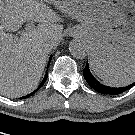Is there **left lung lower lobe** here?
I'll list each match as a JSON object with an SVG mask.
<instances>
[{"mask_svg": "<svg viewBox=\"0 0 135 135\" xmlns=\"http://www.w3.org/2000/svg\"><path fill=\"white\" fill-rule=\"evenodd\" d=\"M83 75L85 80L87 81V83L97 92L102 93V94H107V95H117L120 93H123L125 91H127L128 89H130L131 87H133L135 85V82L126 86V87H119V88H115V87H109V86H105L102 85L101 83H99L91 74L90 70H89V65L87 63L85 69L83 70Z\"/></svg>", "mask_w": 135, "mask_h": 135, "instance_id": "left-lung-lower-lobe-1", "label": "left lung lower lobe"}]
</instances>
